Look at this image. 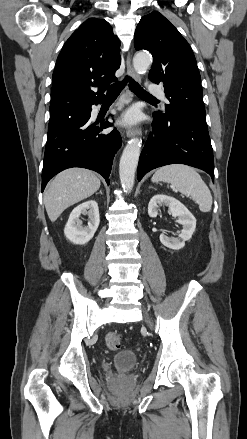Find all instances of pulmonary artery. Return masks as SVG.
<instances>
[{"mask_svg":"<svg viewBox=\"0 0 247 439\" xmlns=\"http://www.w3.org/2000/svg\"><path fill=\"white\" fill-rule=\"evenodd\" d=\"M148 90L151 94L159 96V97L166 100L165 95H164V91L160 86H158L156 84H150L148 87Z\"/></svg>","mask_w":247,"mask_h":439,"instance_id":"1","label":"pulmonary artery"}]
</instances>
